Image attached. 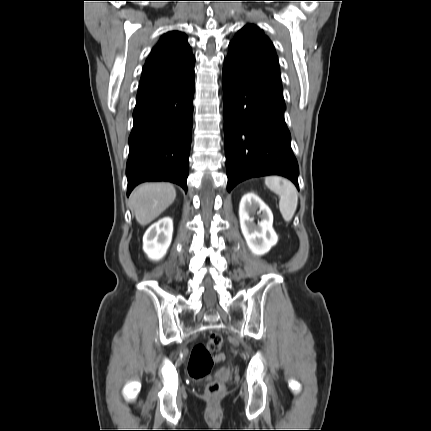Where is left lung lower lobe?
Returning <instances> with one entry per match:
<instances>
[{
    "label": "left lung lower lobe",
    "instance_id": "0a47b994",
    "mask_svg": "<svg viewBox=\"0 0 431 431\" xmlns=\"http://www.w3.org/2000/svg\"><path fill=\"white\" fill-rule=\"evenodd\" d=\"M224 136L230 192L253 177L281 175L298 187V163L283 95L223 70Z\"/></svg>",
    "mask_w": 431,
    "mask_h": 431
}]
</instances>
